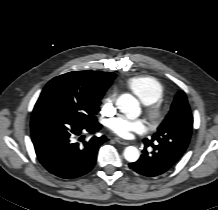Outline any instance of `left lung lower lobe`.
<instances>
[{"label":"left lung lower lobe","mask_w":218,"mask_h":210,"mask_svg":"<svg viewBox=\"0 0 218 210\" xmlns=\"http://www.w3.org/2000/svg\"><path fill=\"white\" fill-rule=\"evenodd\" d=\"M145 149L138 161L130 163L129 167L135 172L147 176L154 177L161 175L171 169L182 157L184 153L181 151H164L163 148L147 138L144 139ZM153 147L152 152H148L146 147Z\"/></svg>","instance_id":"left-lung-lower-lobe-1"}]
</instances>
